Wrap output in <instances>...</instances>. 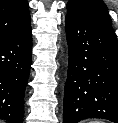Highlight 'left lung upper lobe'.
<instances>
[{
  "label": "left lung upper lobe",
  "mask_w": 118,
  "mask_h": 123,
  "mask_svg": "<svg viewBox=\"0 0 118 123\" xmlns=\"http://www.w3.org/2000/svg\"><path fill=\"white\" fill-rule=\"evenodd\" d=\"M66 16L112 24L107 6L102 0H69Z\"/></svg>",
  "instance_id": "1"
}]
</instances>
